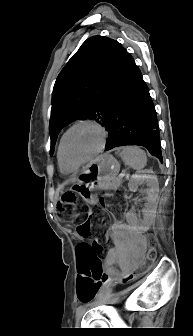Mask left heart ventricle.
I'll return each instance as SVG.
<instances>
[{
    "instance_id": "1",
    "label": "left heart ventricle",
    "mask_w": 193,
    "mask_h": 336,
    "mask_svg": "<svg viewBox=\"0 0 193 336\" xmlns=\"http://www.w3.org/2000/svg\"><path fill=\"white\" fill-rule=\"evenodd\" d=\"M101 140V133L96 128L89 125L78 126L66 138V154L72 160H82L99 148Z\"/></svg>"
}]
</instances>
